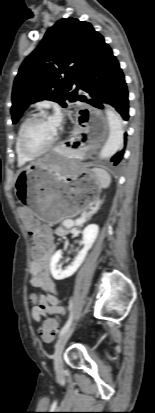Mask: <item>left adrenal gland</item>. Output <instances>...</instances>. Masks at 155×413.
Instances as JSON below:
<instances>
[{
	"label": "left adrenal gland",
	"instance_id": "a2214340",
	"mask_svg": "<svg viewBox=\"0 0 155 413\" xmlns=\"http://www.w3.org/2000/svg\"><path fill=\"white\" fill-rule=\"evenodd\" d=\"M96 212V210L95 211H92L91 213H90V215L88 216V218L93 214V213H95Z\"/></svg>",
	"mask_w": 155,
	"mask_h": 413
}]
</instances>
